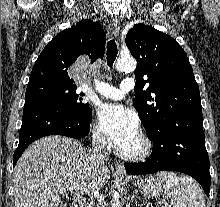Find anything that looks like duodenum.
Returning <instances> with one entry per match:
<instances>
[{
    "instance_id": "duodenum-1",
    "label": "duodenum",
    "mask_w": 220,
    "mask_h": 207,
    "mask_svg": "<svg viewBox=\"0 0 220 207\" xmlns=\"http://www.w3.org/2000/svg\"><path fill=\"white\" fill-rule=\"evenodd\" d=\"M71 207H78V206L74 205V206H71Z\"/></svg>"
}]
</instances>
